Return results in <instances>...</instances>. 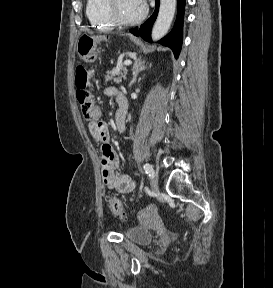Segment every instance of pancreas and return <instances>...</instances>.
<instances>
[{
	"label": "pancreas",
	"instance_id": "pancreas-1",
	"mask_svg": "<svg viewBox=\"0 0 273 288\" xmlns=\"http://www.w3.org/2000/svg\"><path fill=\"white\" fill-rule=\"evenodd\" d=\"M127 68L123 65H118L111 71H107V76L105 77V82L113 81L114 83H120L122 79H125L127 74Z\"/></svg>",
	"mask_w": 273,
	"mask_h": 288
}]
</instances>
